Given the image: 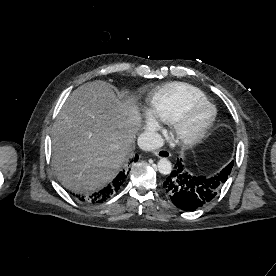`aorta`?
Segmentation results:
<instances>
[{"label":"aorta","mask_w":276,"mask_h":276,"mask_svg":"<svg viewBox=\"0 0 276 276\" xmlns=\"http://www.w3.org/2000/svg\"><path fill=\"white\" fill-rule=\"evenodd\" d=\"M157 166H158V171L163 175H168L172 171V164L166 158H161L158 161Z\"/></svg>","instance_id":"aorta-1"}]
</instances>
